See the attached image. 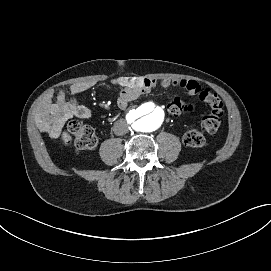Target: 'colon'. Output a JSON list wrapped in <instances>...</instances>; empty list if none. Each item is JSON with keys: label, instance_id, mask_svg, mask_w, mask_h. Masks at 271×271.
<instances>
[{"label": "colon", "instance_id": "1", "mask_svg": "<svg viewBox=\"0 0 271 271\" xmlns=\"http://www.w3.org/2000/svg\"><path fill=\"white\" fill-rule=\"evenodd\" d=\"M199 99L209 107V112L203 117L199 127L188 130L184 134V142L190 147H203L208 143L206 134L214 133L220 127L223 116V103L220 97L209 89H202ZM172 114L190 111L191 106L180 98H173L167 105ZM69 138L66 143L78 150L92 151L97 147V137L93 129L78 121H72L68 125Z\"/></svg>", "mask_w": 271, "mask_h": 271}]
</instances>
